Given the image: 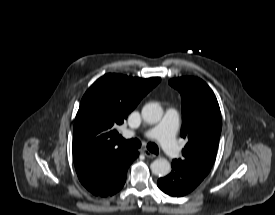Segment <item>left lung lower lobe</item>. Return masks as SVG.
<instances>
[{
	"label": "left lung lower lobe",
	"instance_id": "obj_1",
	"mask_svg": "<svg viewBox=\"0 0 275 215\" xmlns=\"http://www.w3.org/2000/svg\"><path fill=\"white\" fill-rule=\"evenodd\" d=\"M171 167V173L157 181L158 187L170 196H185L192 192L204 179V177L184 169L178 163L172 162Z\"/></svg>",
	"mask_w": 275,
	"mask_h": 215
}]
</instances>
